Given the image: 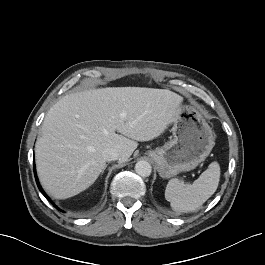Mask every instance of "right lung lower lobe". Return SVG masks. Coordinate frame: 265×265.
<instances>
[{"label":"right lung lower lobe","instance_id":"98d812e1","mask_svg":"<svg viewBox=\"0 0 265 265\" xmlns=\"http://www.w3.org/2000/svg\"><path fill=\"white\" fill-rule=\"evenodd\" d=\"M34 175H35V179H36V183H37V186L39 188V190L41 191V193L52 203V205L57 208L58 210H60L51 200L50 198L45 194V192L43 191V189L41 188L40 184H39V181L37 179V176H36V172H35V166H34Z\"/></svg>","mask_w":265,"mask_h":265}]
</instances>
